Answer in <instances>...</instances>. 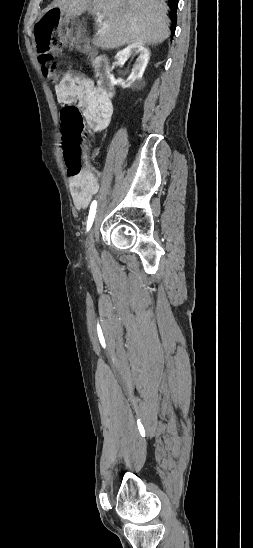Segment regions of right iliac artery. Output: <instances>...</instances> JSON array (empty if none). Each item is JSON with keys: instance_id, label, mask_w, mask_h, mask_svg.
Masks as SVG:
<instances>
[{"instance_id": "right-iliac-artery-1", "label": "right iliac artery", "mask_w": 253, "mask_h": 548, "mask_svg": "<svg viewBox=\"0 0 253 548\" xmlns=\"http://www.w3.org/2000/svg\"><path fill=\"white\" fill-rule=\"evenodd\" d=\"M96 207H97V202L96 200H94L90 206L88 222H87V231L91 228L93 224L95 213H96Z\"/></svg>"}]
</instances>
